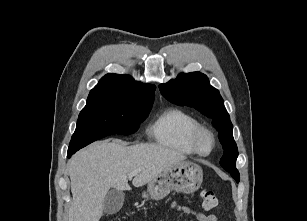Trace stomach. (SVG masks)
<instances>
[{"instance_id": "0dacf381", "label": "stomach", "mask_w": 307, "mask_h": 221, "mask_svg": "<svg viewBox=\"0 0 307 221\" xmlns=\"http://www.w3.org/2000/svg\"><path fill=\"white\" fill-rule=\"evenodd\" d=\"M203 181L202 168L190 161H181L164 170L147 184L142 193L145 199L161 200L172 190L190 194L195 192Z\"/></svg>"}]
</instances>
